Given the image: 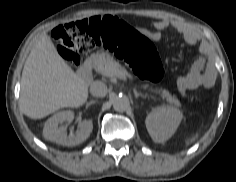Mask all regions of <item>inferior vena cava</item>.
I'll return each instance as SVG.
<instances>
[{"label":"inferior vena cava","instance_id":"inferior-vena-cava-1","mask_svg":"<svg viewBox=\"0 0 236 182\" xmlns=\"http://www.w3.org/2000/svg\"><path fill=\"white\" fill-rule=\"evenodd\" d=\"M91 95L97 98H103L107 94V86L102 81H95L90 87Z\"/></svg>","mask_w":236,"mask_h":182}]
</instances>
